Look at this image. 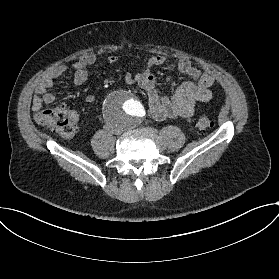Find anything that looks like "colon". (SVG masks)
Wrapping results in <instances>:
<instances>
[{
    "instance_id": "1",
    "label": "colon",
    "mask_w": 279,
    "mask_h": 279,
    "mask_svg": "<svg viewBox=\"0 0 279 279\" xmlns=\"http://www.w3.org/2000/svg\"><path fill=\"white\" fill-rule=\"evenodd\" d=\"M38 123L64 138L72 137L78 128V119L66 109H45L38 115ZM197 130L205 133L213 127V121L207 114H201L196 123Z\"/></svg>"
}]
</instances>
